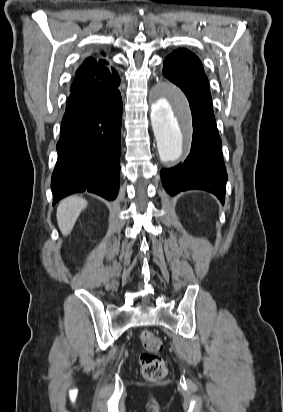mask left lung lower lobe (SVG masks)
<instances>
[{
  "label": "left lung lower lobe",
  "instance_id": "1",
  "mask_svg": "<svg viewBox=\"0 0 283 412\" xmlns=\"http://www.w3.org/2000/svg\"><path fill=\"white\" fill-rule=\"evenodd\" d=\"M170 81L180 87L188 98L193 117V140L184 163L161 170L163 186L170 195L191 189L205 190L223 204L227 174L210 88L187 77Z\"/></svg>",
  "mask_w": 283,
  "mask_h": 412
}]
</instances>
